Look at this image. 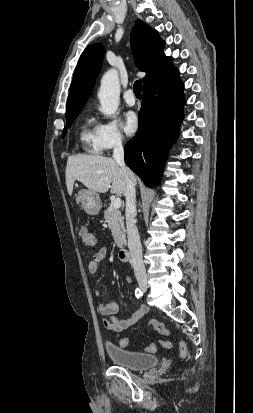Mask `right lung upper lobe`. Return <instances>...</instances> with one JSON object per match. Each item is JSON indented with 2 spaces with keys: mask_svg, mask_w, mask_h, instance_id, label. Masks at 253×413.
Segmentation results:
<instances>
[{
  "mask_svg": "<svg viewBox=\"0 0 253 413\" xmlns=\"http://www.w3.org/2000/svg\"><path fill=\"white\" fill-rule=\"evenodd\" d=\"M131 48L140 71L146 72L143 88L172 72V58L163 52L165 42L156 30L138 20L131 32ZM104 47L100 44L88 46L81 54L76 66L67 101L66 117L78 114L94 87V81L101 70Z\"/></svg>",
  "mask_w": 253,
  "mask_h": 413,
  "instance_id": "obj_1",
  "label": "right lung upper lobe"
}]
</instances>
